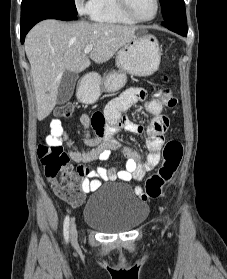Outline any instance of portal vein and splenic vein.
Wrapping results in <instances>:
<instances>
[{"label": "portal vein and splenic vein", "mask_w": 227, "mask_h": 279, "mask_svg": "<svg viewBox=\"0 0 227 279\" xmlns=\"http://www.w3.org/2000/svg\"><path fill=\"white\" fill-rule=\"evenodd\" d=\"M92 49H93V45L86 46V48L84 49V54H89Z\"/></svg>", "instance_id": "1"}]
</instances>
